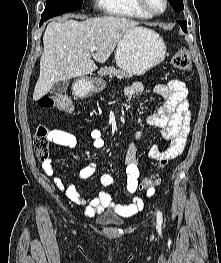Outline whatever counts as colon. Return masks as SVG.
I'll return each mask as SVG.
<instances>
[{"instance_id": "colon-1", "label": "colon", "mask_w": 221, "mask_h": 263, "mask_svg": "<svg viewBox=\"0 0 221 263\" xmlns=\"http://www.w3.org/2000/svg\"><path fill=\"white\" fill-rule=\"evenodd\" d=\"M172 64L180 70L188 71L191 68L190 55L187 50L179 49L172 56ZM38 105L42 108L57 109L65 113H71L74 110L71 99L65 94L44 95L38 99ZM34 146L37 155L41 159H46L49 152V142L47 139V129L43 126L37 128ZM167 159H161L159 166L163 168L167 164ZM156 175L146 177L142 183V189H149L154 186Z\"/></svg>"}]
</instances>
